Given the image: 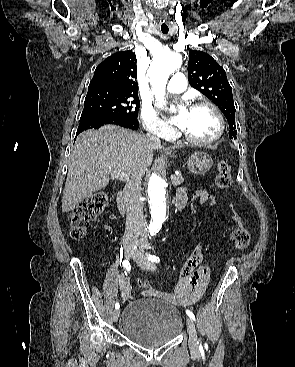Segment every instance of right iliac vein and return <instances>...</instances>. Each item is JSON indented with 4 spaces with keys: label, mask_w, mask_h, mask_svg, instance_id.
Returning a JSON list of instances; mask_svg holds the SVG:
<instances>
[{
    "label": "right iliac vein",
    "mask_w": 295,
    "mask_h": 367,
    "mask_svg": "<svg viewBox=\"0 0 295 367\" xmlns=\"http://www.w3.org/2000/svg\"><path fill=\"white\" fill-rule=\"evenodd\" d=\"M133 254H134V252H133V250H132V249H130V248H126V249L124 250V256H125V258H126L127 260H129V259L133 256ZM119 313H120L119 309H115V310L113 311V313H112V318H113L114 322H117L118 317H119Z\"/></svg>",
    "instance_id": "obj_1"
}]
</instances>
